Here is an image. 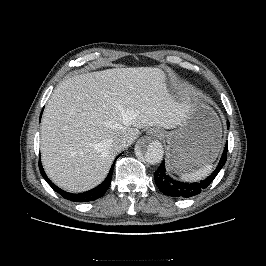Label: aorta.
I'll use <instances>...</instances> for the list:
<instances>
[{"mask_svg":"<svg viewBox=\"0 0 266 266\" xmlns=\"http://www.w3.org/2000/svg\"><path fill=\"white\" fill-rule=\"evenodd\" d=\"M136 152L150 164L159 163L164 154L163 146L158 140L139 142L136 147Z\"/></svg>","mask_w":266,"mask_h":266,"instance_id":"aorta-1","label":"aorta"}]
</instances>
